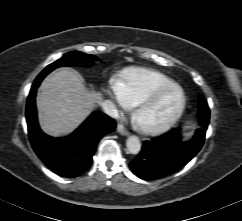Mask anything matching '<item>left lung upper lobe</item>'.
<instances>
[{"label":"left lung upper lobe","instance_id":"5c2ea615","mask_svg":"<svg viewBox=\"0 0 242 221\" xmlns=\"http://www.w3.org/2000/svg\"><path fill=\"white\" fill-rule=\"evenodd\" d=\"M198 104H199L198 119H199V122H201V120L204 117L209 116V107L207 105L206 100L203 97L199 98V103Z\"/></svg>","mask_w":242,"mask_h":221}]
</instances>
